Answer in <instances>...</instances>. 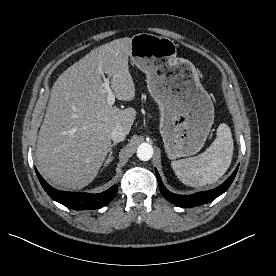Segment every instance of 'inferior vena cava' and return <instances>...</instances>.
I'll use <instances>...</instances> for the list:
<instances>
[{"label": "inferior vena cava", "instance_id": "602c4592", "mask_svg": "<svg viewBox=\"0 0 276 276\" xmlns=\"http://www.w3.org/2000/svg\"><path fill=\"white\" fill-rule=\"evenodd\" d=\"M127 133L122 126L115 127L111 132V139L114 142H121L125 139Z\"/></svg>", "mask_w": 276, "mask_h": 276}]
</instances>
